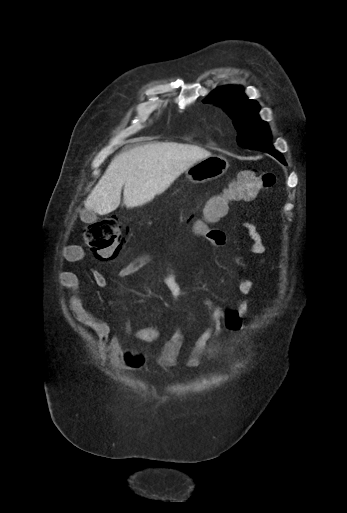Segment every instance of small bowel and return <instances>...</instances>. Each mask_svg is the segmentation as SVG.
<instances>
[{"label": "small bowel", "mask_w": 347, "mask_h": 513, "mask_svg": "<svg viewBox=\"0 0 347 513\" xmlns=\"http://www.w3.org/2000/svg\"><path fill=\"white\" fill-rule=\"evenodd\" d=\"M249 249L255 254H264L266 245L259 233L257 225L248 221L245 223ZM195 236L206 240L215 247H223L227 243L226 232L220 228L208 227L203 230H194ZM83 255L79 246L67 248L65 259L76 261ZM149 254H140L127 262L119 271V277L127 278L135 274L142 266L150 261ZM162 282L168 292L174 296H182L185 291L177 281L176 275L170 267H166L162 276ZM94 283L99 287H106L105 276L96 272L92 274ZM60 286L69 295L68 306L75 320L83 327L94 332L98 348L107 355V358L116 366L127 370H139L146 363L145 353L142 349L126 351L123 349V341L127 338H135L142 343L153 344L162 337L159 327H142L133 329L128 323L124 324L121 334L111 335L112 329L105 320H102L90 311L82 303L79 296L80 282L75 274L62 271L58 275ZM235 289L238 299L234 307H224L215 304L211 300H205L208 310L207 326L199 335L186 356V366L197 368L203 357L215 358L219 351L218 339L226 331H238L243 326V318L249 312L248 296L253 292L252 281L240 276L237 279ZM184 346V334L179 326H176L172 335L166 341L156 358V363L161 369H170L178 364Z\"/></svg>", "instance_id": "obj_1"}]
</instances>
